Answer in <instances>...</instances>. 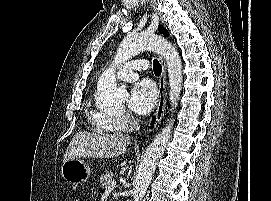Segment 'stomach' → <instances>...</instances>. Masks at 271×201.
<instances>
[{
  "mask_svg": "<svg viewBox=\"0 0 271 201\" xmlns=\"http://www.w3.org/2000/svg\"><path fill=\"white\" fill-rule=\"evenodd\" d=\"M61 174L68 183L76 185L86 182L92 172L83 160L72 159L63 163Z\"/></svg>",
  "mask_w": 271,
  "mask_h": 201,
  "instance_id": "0dacf381",
  "label": "stomach"
}]
</instances>
